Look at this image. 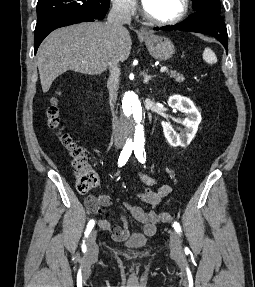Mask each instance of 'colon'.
<instances>
[{"label": "colon", "instance_id": "5ec220e1", "mask_svg": "<svg viewBox=\"0 0 255 287\" xmlns=\"http://www.w3.org/2000/svg\"><path fill=\"white\" fill-rule=\"evenodd\" d=\"M46 114L48 127L52 130H57L60 124V117L56 99H53ZM59 138L71 158L77 190L80 193L90 191L98 184V176L89 163L85 151L68 134L60 133ZM159 217L165 223H170L173 220V216L167 212L160 213Z\"/></svg>", "mask_w": 255, "mask_h": 287}]
</instances>
